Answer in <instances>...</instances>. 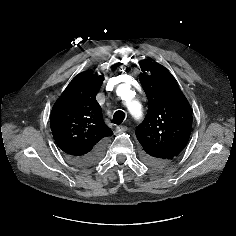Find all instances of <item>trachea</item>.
Instances as JSON below:
<instances>
[{
	"instance_id": "3493384b",
	"label": "trachea",
	"mask_w": 236,
	"mask_h": 236,
	"mask_svg": "<svg viewBox=\"0 0 236 236\" xmlns=\"http://www.w3.org/2000/svg\"><path fill=\"white\" fill-rule=\"evenodd\" d=\"M125 119V113L123 111H116L113 115V123L121 124Z\"/></svg>"
}]
</instances>
